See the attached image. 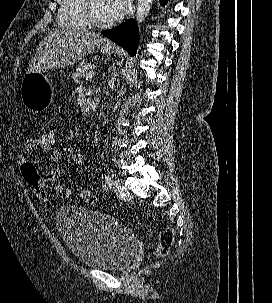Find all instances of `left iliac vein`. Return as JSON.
Masks as SVG:
<instances>
[{
	"label": "left iliac vein",
	"instance_id": "1",
	"mask_svg": "<svg viewBox=\"0 0 272 303\" xmlns=\"http://www.w3.org/2000/svg\"><path fill=\"white\" fill-rule=\"evenodd\" d=\"M113 189L116 195L122 199H127L130 196L129 191L118 180L113 182Z\"/></svg>",
	"mask_w": 272,
	"mask_h": 303
}]
</instances>
